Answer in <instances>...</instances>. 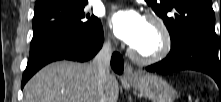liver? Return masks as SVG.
Wrapping results in <instances>:
<instances>
[{"label": "liver", "mask_w": 221, "mask_h": 102, "mask_svg": "<svg viewBox=\"0 0 221 102\" xmlns=\"http://www.w3.org/2000/svg\"><path fill=\"white\" fill-rule=\"evenodd\" d=\"M118 97L113 74L100 86L92 64L64 60L45 66L25 85L23 102H117Z\"/></svg>", "instance_id": "6515ba94"}]
</instances>
